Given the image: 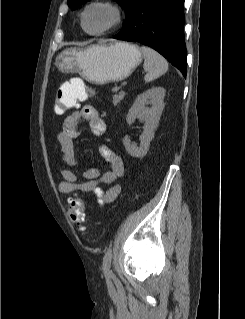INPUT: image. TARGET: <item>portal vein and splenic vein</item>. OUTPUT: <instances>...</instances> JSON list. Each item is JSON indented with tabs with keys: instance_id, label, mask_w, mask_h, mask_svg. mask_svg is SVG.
Wrapping results in <instances>:
<instances>
[{
	"instance_id": "portal-vein-and-splenic-vein-1",
	"label": "portal vein and splenic vein",
	"mask_w": 245,
	"mask_h": 319,
	"mask_svg": "<svg viewBox=\"0 0 245 319\" xmlns=\"http://www.w3.org/2000/svg\"><path fill=\"white\" fill-rule=\"evenodd\" d=\"M120 89H121V87H116V88H115L116 91H118V90H120Z\"/></svg>"
}]
</instances>
